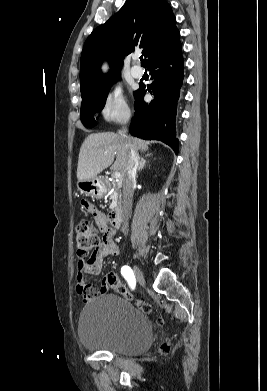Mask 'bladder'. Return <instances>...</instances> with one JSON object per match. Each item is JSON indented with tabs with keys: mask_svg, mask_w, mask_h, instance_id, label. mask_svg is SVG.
Returning a JSON list of instances; mask_svg holds the SVG:
<instances>
[{
	"mask_svg": "<svg viewBox=\"0 0 267 391\" xmlns=\"http://www.w3.org/2000/svg\"><path fill=\"white\" fill-rule=\"evenodd\" d=\"M78 335L87 349L136 356L150 347L153 331L138 307L119 295L105 294L82 309Z\"/></svg>",
	"mask_w": 267,
	"mask_h": 391,
	"instance_id": "obj_1",
	"label": "bladder"
}]
</instances>
